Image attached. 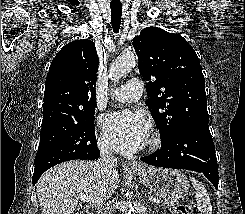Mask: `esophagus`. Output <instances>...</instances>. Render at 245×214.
I'll return each mask as SVG.
<instances>
[{
	"mask_svg": "<svg viewBox=\"0 0 245 214\" xmlns=\"http://www.w3.org/2000/svg\"><path fill=\"white\" fill-rule=\"evenodd\" d=\"M128 166L131 167V168H136V167H140L141 165L138 164V163L135 162V161H129V162H128Z\"/></svg>",
	"mask_w": 245,
	"mask_h": 214,
	"instance_id": "1",
	"label": "esophagus"
}]
</instances>
